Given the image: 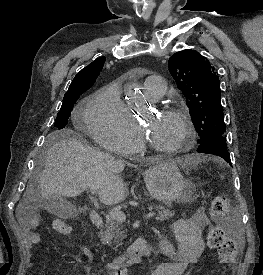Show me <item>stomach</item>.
I'll return each mask as SVG.
<instances>
[{
	"mask_svg": "<svg viewBox=\"0 0 263 275\" xmlns=\"http://www.w3.org/2000/svg\"><path fill=\"white\" fill-rule=\"evenodd\" d=\"M144 180L151 196L165 203L190 202L193 200L177 164L158 163L145 171Z\"/></svg>",
	"mask_w": 263,
	"mask_h": 275,
	"instance_id": "stomach-1",
	"label": "stomach"
}]
</instances>
